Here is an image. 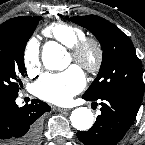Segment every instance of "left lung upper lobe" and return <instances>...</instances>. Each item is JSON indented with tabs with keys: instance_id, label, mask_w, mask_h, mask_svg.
Instances as JSON below:
<instances>
[{
	"instance_id": "1",
	"label": "left lung upper lobe",
	"mask_w": 145,
	"mask_h": 145,
	"mask_svg": "<svg viewBox=\"0 0 145 145\" xmlns=\"http://www.w3.org/2000/svg\"><path fill=\"white\" fill-rule=\"evenodd\" d=\"M70 20L92 32L103 50L100 71L84 96L97 100L121 95L141 102L142 66L129 37L111 22L95 15L75 16Z\"/></svg>"
}]
</instances>
